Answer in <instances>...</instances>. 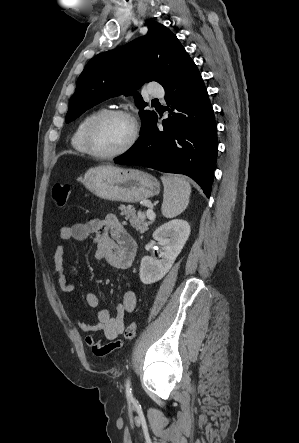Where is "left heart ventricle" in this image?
<instances>
[{
	"label": "left heart ventricle",
	"instance_id": "left-heart-ventricle-1",
	"mask_svg": "<svg viewBox=\"0 0 299 443\" xmlns=\"http://www.w3.org/2000/svg\"><path fill=\"white\" fill-rule=\"evenodd\" d=\"M132 134L131 122L120 116L103 119L93 134L94 148L100 153L118 151L129 141Z\"/></svg>",
	"mask_w": 299,
	"mask_h": 443
}]
</instances>
